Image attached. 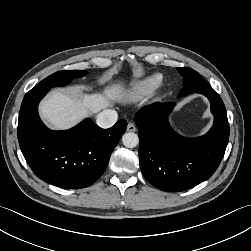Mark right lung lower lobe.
Returning a JSON list of instances; mask_svg holds the SVG:
<instances>
[{
	"label": "right lung lower lobe",
	"instance_id": "right-lung-lower-lobe-1",
	"mask_svg": "<svg viewBox=\"0 0 251 251\" xmlns=\"http://www.w3.org/2000/svg\"><path fill=\"white\" fill-rule=\"evenodd\" d=\"M49 90L34 87L24 96L17 129L20 149L43 181L68 189L88 187L104 173L127 122L119 120L102 129L85 119L72 129L52 131L42 123L37 110Z\"/></svg>",
	"mask_w": 251,
	"mask_h": 251
}]
</instances>
